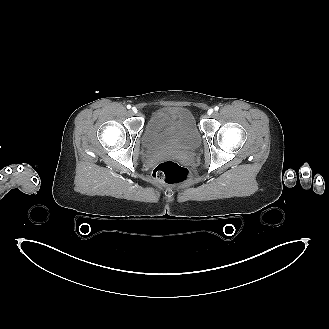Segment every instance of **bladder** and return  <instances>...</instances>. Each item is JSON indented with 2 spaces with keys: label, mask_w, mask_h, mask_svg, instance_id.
<instances>
[{
  "label": "bladder",
  "mask_w": 329,
  "mask_h": 329,
  "mask_svg": "<svg viewBox=\"0 0 329 329\" xmlns=\"http://www.w3.org/2000/svg\"><path fill=\"white\" fill-rule=\"evenodd\" d=\"M200 135L195 117L186 107H162L150 116L142 135V146L149 155L166 152L190 154L198 149Z\"/></svg>",
  "instance_id": "bladder-1"
}]
</instances>
